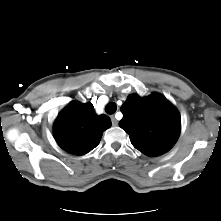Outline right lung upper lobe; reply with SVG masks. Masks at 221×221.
Wrapping results in <instances>:
<instances>
[{
  "instance_id": "cb5924a9",
  "label": "right lung upper lobe",
  "mask_w": 221,
  "mask_h": 221,
  "mask_svg": "<svg viewBox=\"0 0 221 221\" xmlns=\"http://www.w3.org/2000/svg\"><path fill=\"white\" fill-rule=\"evenodd\" d=\"M110 126V118L96 115L91 103L72 102L58 115L54 137L65 151L84 155L99 144L103 132Z\"/></svg>"
}]
</instances>
